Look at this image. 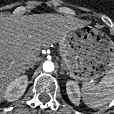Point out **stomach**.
I'll list each match as a JSON object with an SVG mask.
<instances>
[{"label": "stomach", "mask_w": 114, "mask_h": 114, "mask_svg": "<svg viewBox=\"0 0 114 114\" xmlns=\"http://www.w3.org/2000/svg\"><path fill=\"white\" fill-rule=\"evenodd\" d=\"M59 50L71 77L91 83L114 68V42L102 31L84 24L67 32Z\"/></svg>", "instance_id": "obj_1"}]
</instances>
